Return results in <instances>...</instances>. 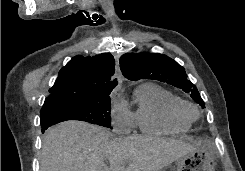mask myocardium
Instances as JSON below:
<instances>
[{"mask_svg": "<svg viewBox=\"0 0 245 171\" xmlns=\"http://www.w3.org/2000/svg\"><path fill=\"white\" fill-rule=\"evenodd\" d=\"M189 110H192L195 113L194 117H191L188 114ZM174 112L178 117L189 123H192L199 118V110L197 106L194 103L186 100L180 99L178 102H176L174 105Z\"/></svg>", "mask_w": 245, "mask_h": 171, "instance_id": "myocardium-1", "label": "myocardium"}]
</instances>
